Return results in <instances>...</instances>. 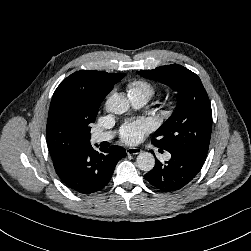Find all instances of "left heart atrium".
I'll list each match as a JSON object with an SVG mask.
<instances>
[{
    "label": "left heart atrium",
    "instance_id": "obj_1",
    "mask_svg": "<svg viewBox=\"0 0 251 251\" xmlns=\"http://www.w3.org/2000/svg\"><path fill=\"white\" fill-rule=\"evenodd\" d=\"M152 130V125L147 119H138L126 123L121 131V138L125 143L135 144L142 140L144 135Z\"/></svg>",
    "mask_w": 251,
    "mask_h": 251
}]
</instances>
